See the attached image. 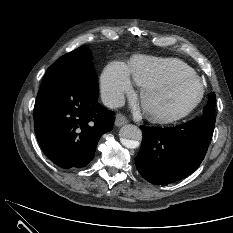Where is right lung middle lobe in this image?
I'll use <instances>...</instances> for the list:
<instances>
[{
  "label": "right lung middle lobe",
  "mask_w": 233,
  "mask_h": 233,
  "mask_svg": "<svg viewBox=\"0 0 233 233\" xmlns=\"http://www.w3.org/2000/svg\"><path fill=\"white\" fill-rule=\"evenodd\" d=\"M91 52L85 46L60 57L52 66L49 67L46 74L60 73L67 75H83L91 73L95 76V70L91 61Z\"/></svg>",
  "instance_id": "obj_1"
}]
</instances>
